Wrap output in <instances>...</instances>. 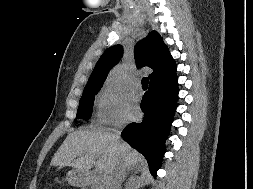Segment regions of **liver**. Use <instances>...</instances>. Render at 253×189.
<instances>
[{"instance_id": "liver-1", "label": "liver", "mask_w": 253, "mask_h": 189, "mask_svg": "<svg viewBox=\"0 0 253 189\" xmlns=\"http://www.w3.org/2000/svg\"><path fill=\"white\" fill-rule=\"evenodd\" d=\"M143 157L128 143L114 134L82 129L68 134L51 160V166H69L88 171L96 166L107 176L113 167L123 162L127 167L138 165Z\"/></svg>"}]
</instances>
